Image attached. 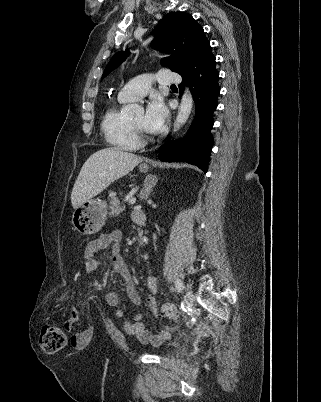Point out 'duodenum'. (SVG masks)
Here are the masks:
<instances>
[{
	"label": "duodenum",
	"mask_w": 321,
	"mask_h": 402,
	"mask_svg": "<svg viewBox=\"0 0 321 402\" xmlns=\"http://www.w3.org/2000/svg\"><path fill=\"white\" fill-rule=\"evenodd\" d=\"M134 218L135 221L139 224H144L146 223V217L143 211L137 209L134 213Z\"/></svg>",
	"instance_id": "410a0bca"
}]
</instances>
